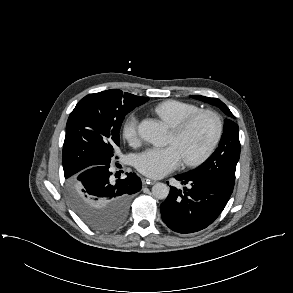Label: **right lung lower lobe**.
I'll return each mask as SVG.
<instances>
[{
	"label": "right lung lower lobe",
	"mask_w": 293,
	"mask_h": 293,
	"mask_svg": "<svg viewBox=\"0 0 293 293\" xmlns=\"http://www.w3.org/2000/svg\"><path fill=\"white\" fill-rule=\"evenodd\" d=\"M78 182L90 211L98 214H118L124 217V220L131 195L138 192L142 186L135 173H127L126 178L115 181L110 164L84 169L78 175Z\"/></svg>",
	"instance_id": "1"
}]
</instances>
